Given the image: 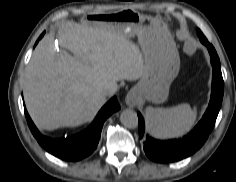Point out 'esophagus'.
I'll use <instances>...</instances> for the list:
<instances>
[{
    "mask_svg": "<svg viewBox=\"0 0 236 182\" xmlns=\"http://www.w3.org/2000/svg\"><path fill=\"white\" fill-rule=\"evenodd\" d=\"M125 101L129 107H135L138 104V97L134 91H130L126 96Z\"/></svg>",
    "mask_w": 236,
    "mask_h": 182,
    "instance_id": "1",
    "label": "esophagus"
}]
</instances>
